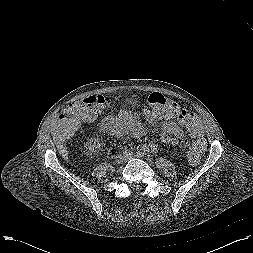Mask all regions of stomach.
I'll return each mask as SVG.
<instances>
[{
  "mask_svg": "<svg viewBox=\"0 0 253 253\" xmlns=\"http://www.w3.org/2000/svg\"><path fill=\"white\" fill-rule=\"evenodd\" d=\"M126 104H127L129 107H135V106L138 104V100H137V98L131 97V98H128V99L126 100Z\"/></svg>",
  "mask_w": 253,
  "mask_h": 253,
  "instance_id": "stomach-1",
  "label": "stomach"
}]
</instances>
